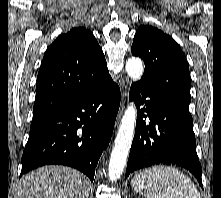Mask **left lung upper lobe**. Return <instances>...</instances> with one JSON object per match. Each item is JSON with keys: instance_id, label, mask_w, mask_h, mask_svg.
<instances>
[{"instance_id": "1", "label": "left lung upper lobe", "mask_w": 221, "mask_h": 198, "mask_svg": "<svg viewBox=\"0 0 221 198\" xmlns=\"http://www.w3.org/2000/svg\"><path fill=\"white\" fill-rule=\"evenodd\" d=\"M131 52L144 60L139 81L153 88L184 115L191 102V78L187 60L179 45L161 30L142 25L136 31Z\"/></svg>"}]
</instances>
